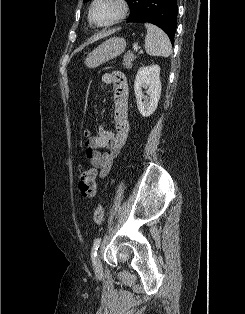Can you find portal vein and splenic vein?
I'll list each match as a JSON object with an SVG mask.
<instances>
[{"label":"portal vein and splenic vein","mask_w":245,"mask_h":314,"mask_svg":"<svg viewBox=\"0 0 245 314\" xmlns=\"http://www.w3.org/2000/svg\"><path fill=\"white\" fill-rule=\"evenodd\" d=\"M133 48H134L135 52H137L141 49V47L137 43L134 44Z\"/></svg>","instance_id":"obj_1"}]
</instances>
